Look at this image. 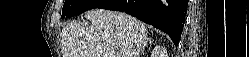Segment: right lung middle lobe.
I'll return each instance as SVG.
<instances>
[{
	"label": "right lung middle lobe",
	"instance_id": "right-lung-middle-lobe-1",
	"mask_svg": "<svg viewBox=\"0 0 249 57\" xmlns=\"http://www.w3.org/2000/svg\"><path fill=\"white\" fill-rule=\"evenodd\" d=\"M107 1L108 0H66L63 5L61 18L72 17L87 10L99 8Z\"/></svg>",
	"mask_w": 249,
	"mask_h": 57
}]
</instances>
